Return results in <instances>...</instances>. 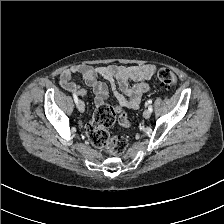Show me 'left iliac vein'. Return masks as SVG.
Masks as SVG:
<instances>
[{"label": "left iliac vein", "mask_w": 224, "mask_h": 224, "mask_svg": "<svg viewBox=\"0 0 224 224\" xmlns=\"http://www.w3.org/2000/svg\"><path fill=\"white\" fill-rule=\"evenodd\" d=\"M143 116H144V118H149V117L151 116V112H150V110H149V109L145 110V111L143 112Z\"/></svg>", "instance_id": "left-iliac-vein-1"}]
</instances>
